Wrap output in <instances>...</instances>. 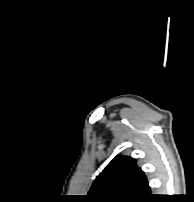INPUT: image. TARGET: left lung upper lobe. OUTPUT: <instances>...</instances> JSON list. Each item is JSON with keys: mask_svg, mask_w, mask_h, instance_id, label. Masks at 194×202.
I'll use <instances>...</instances> for the list:
<instances>
[{"mask_svg": "<svg viewBox=\"0 0 194 202\" xmlns=\"http://www.w3.org/2000/svg\"><path fill=\"white\" fill-rule=\"evenodd\" d=\"M88 197L91 202H144L151 194L135 160L116 156L95 179Z\"/></svg>", "mask_w": 194, "mask_h": 202, "instance_id": "5c2ea615", "label": "left lung upper lobe"}]
</instances>
